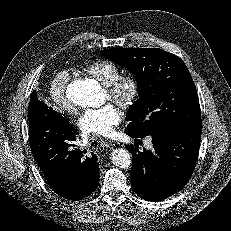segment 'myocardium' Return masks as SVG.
<instances>
[{"label": "myocardium", "instance_id": "myocardium-1", "mask_svg": "<svg viewBox=\"0 0 231 231\" xmlns=\"http://www.w3.org/2000/svg\"><path fill=\"white\" fill-rule=\"evenodd\" d=\"M142 90L143 82L135 74L120 76L111 85L105 87L107 98L115 101L124 110L135 105Z\"/></svg>", "mask_w": 231, "mask_h": 231}]
</instances>
